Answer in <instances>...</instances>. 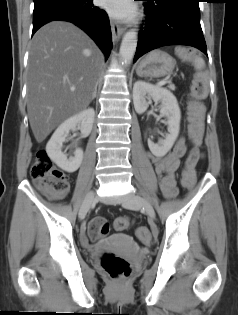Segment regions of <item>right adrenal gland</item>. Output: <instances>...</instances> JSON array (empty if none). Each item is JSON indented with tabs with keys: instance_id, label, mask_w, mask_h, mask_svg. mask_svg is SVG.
<instances>
[{
	"instance_id": "1",
	"label": "right adrenal gland",
	"mask_w": 238,
	"mask_h": 315,
	"mask_svg": "<svg viewBox=\"0 0 238 315\" xmlns=\"http://www.w3.org/2000/svg\"><path fill=\"white\" fill-rule=\"evenodd\" d=\"M97 85H98V82H97V83H96V85H95V90H94L93 96H92V98H91V101H92L94 98H96V94H97Z\"/></svg>"
}]
</instances>
